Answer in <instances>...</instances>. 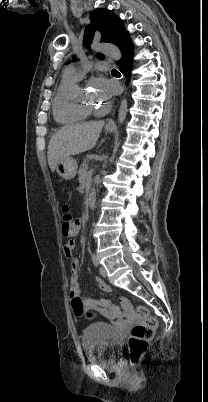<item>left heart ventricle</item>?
I'll list each match as a JSON object with an SVG mask.
<instances>
[{"instance_id": "left-heart-ventricle-1", "label": "left heart ventricle", "mask_w": 208, "mask_h": 402, "mask_svg": "<svg viewBox=\"0 0 208 402\" xmlns=\"http://www.w3.org/2000/svg\"><path fill=\"white\" fill-rule=\"evenodd\" d=\"M100 100H101V95H97V96H95V97H92V96H86V95L84 94V98H83V101H84L85 104H87V105L95 104L96 102H98V101H100Z\"/></svg>"}]
</instances>
